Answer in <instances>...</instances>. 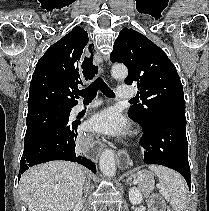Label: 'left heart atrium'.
I'll list each match as a JSON object with an SVG mask.
<instances>
[{"mask_svg":"<svg viewBox=\"0 0 209 211\" xmlns=\"http://www.w3.org/2000/svg\"><path fill=\"white\" fill-rule=\"evenodd\" d=\"M88 127L96 133L121 136L127 132L129 125L116 108H106L91 117Z\"/></svg>","mask_w":209,"mask_h":211,"instance_id":"1","label":"left heart atrium"}]
</instances>
